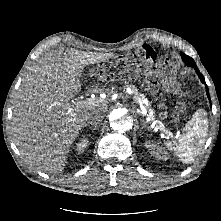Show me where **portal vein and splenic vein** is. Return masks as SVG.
Returning <instances> with one entry per match:
<instances>
[{"mask_svg":"<svg viewBox=\"0 0 221 221\" xmlns=\"http://www.w3.org/2000/svg\"><path fill=\"white\" fill-rule=\"evenodd\" d=\"M85 100H80V101H77L78 104H85ZM169 136H172V133L169 132L168 130H164Z\"/></svg>","mask_w":221,"mask_h":221,"instance_id":"portal-vein-and-splenic-vein-1","label":"portal vein and splenic vein"}]
</instances>
